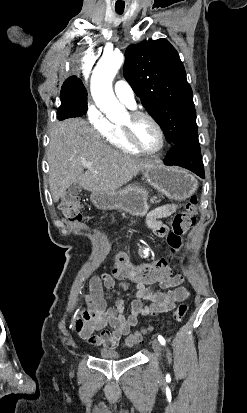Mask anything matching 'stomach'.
I'll return each instance as SVG.
<instances>
[{"mask_svg": "<svg viewBox=\"0 0 247 413\" xmlns=\"http://www.w3.org/2000/svg\"><path fill=\"white\" fill-rule=\"evenodd\" d=\"M143 174L153 188L173 200H186L198 188L197 178L179 166H166L161 162H152L144 168ZM91 200L97 209H104V211L121 209L135 217H144L149 209L148 190L139 188V186H127L123 190L92 192Z\"/></svg>", "mask_w": 247, "mask_h": 413, "instance_id": "stomach-1", "label": "stomach"}]
</instances>
